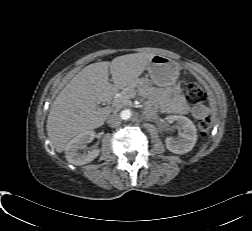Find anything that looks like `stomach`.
<instances>
[{
	"mask_svg": "<svg viewBox=\"0 0 252 231\" xmlns=\"http://www.w3.org/2000/svg\"><path fill=\"white\" fill-rule=\"evenodd\" d=\"M150 81L162 88H176L178 68L169 58L154 55L148 67Z\"/></svg>",
	"mask_w": 252,
	"mask_h": 231,
	"instance_id": "0dacf381",
	"label": "stomach"
}]
</instances>
